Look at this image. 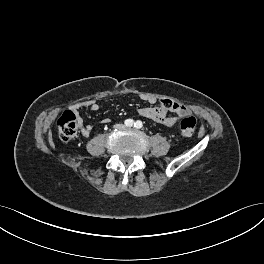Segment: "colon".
Returning a JSON list of instances; mask_svg holds the SVG:
<instances>
[{
	"instance_id": "obj_1",
	"label": "colon",
	"mask_w": 264,
	"mask_h": 264,
	"mask_svg": "<svg viewBox=\"0 0 264 264\" xmlns=\"http://www.w3.org/2000/svg\"><path fill=\"white\" fill-rule=\"evenodd\" d=\"M78 121L73 111H65L57 121L59 137L63 141L72 140L77 134ZM196 128V119L192 116L184 117L179 123L182 136L190 137Z\"/></svg>"
}]
</instances>
